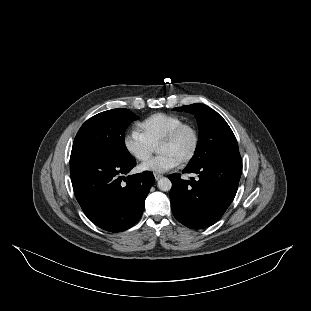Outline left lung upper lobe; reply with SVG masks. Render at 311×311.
Segmentation results:
<instances>
[{
	"mask_svg": "<svg viewBox=\"0 0 311 311\" xmlns=\"http://www.w3.org/2000/svg\"><path fill=\"white\" fill-rule=\"evenodd\" d=\"M174 110L191 112L198 121L199 140L187 167L199 166L220 156L239 154L234 133L216 111L204 104L186 105Z\"/></svg>",
	"mask_w": 311,
	"mask_h": 311,
	"instance_id": "5c2ea615",
	"label": "left lung upper lobe"
}]
</instances>
